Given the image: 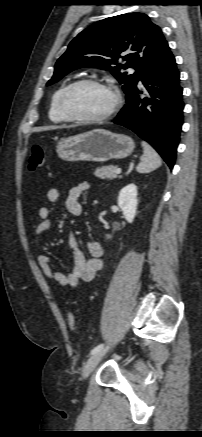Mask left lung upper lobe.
<instances>
[{
  "mask_svg": "<svg viewBox=\"0 0 202 437\" xmlns=\"http://www.w3.org/2000/svg\"><path fill=\"white\" fill-rule=\"evenodd\" d=\"M159 26L143 13H127L98 21L79 33L55 64L47 85L81 67L110 70L122 85L126 100L143 74L167 49ZM122 58L125 63H118ZM134 68L133 74L122 72Z\"/></svg>",
  "mask_w": 202,
  "mask_h": 437,
  "instance_id": "obj_1",
  "label": "left lung upper lobe"
}]
</instances>
